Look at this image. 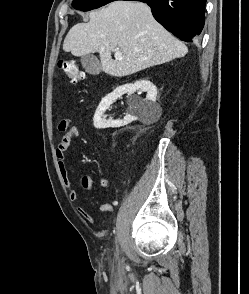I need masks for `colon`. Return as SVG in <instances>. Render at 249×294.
<instances>
[{
    "label": "colon",
    "mask_w": 249,
    "mask_h": 294,
    "mask_svg": "<svg viewBox=\"0 0 249 294\" xmlns=\"http://www.w3.org/2000/svg\"><path fill=\"white\" fill-rule=\"evenodd\" d=\"M57 69L60 75L64 76L70 82H79L82 79V72L78 65L72 60H59ZM101 183L107 185V179H102Z\"/></svg>",
    "instance_id": "1"
}]
</instances>
